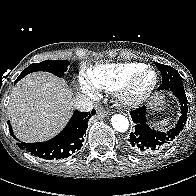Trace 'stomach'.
<instances>
[{
  "label": "stomach",
  "mask_w": 196,
  "mask_h": 196,
  "mask_svg": "<svg viewBox=\"0 0 196 196\" xmlns=\"http://www.w3.org/2000/svg\"><path fill=\"white\" fill-rule=\"evenodd\" d=\"M164 95L163 94H155L152 98L151 107L153 109H160L161 106L164 104Z\"/></svg>",
  "instance_id": "obj_1"
}]
</instances>
